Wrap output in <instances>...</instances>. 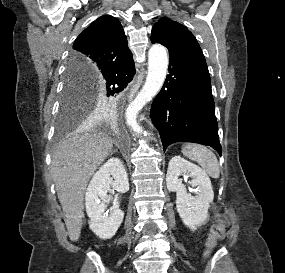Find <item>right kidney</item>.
Instances as JSON below:
<instances>
[{
  "label": "right kidney",
  "mask_w": 285,
  "mask_h": 273,
  "mask_svg": "<svg viewBox=\"0 0 285 273\" xmlns=\"http://www.w3.org/2000/svg\"><path fill=\"white\" fill-rule=\"evenodd\" d=\"M110 187L122 194L129 190L128 176L123 163L118 158H110L94 174L88 185L85 205L90 218V229L101 239H110L120 227L124 212L120 209L119 197L115 196L113 207L107 211L104 200Z\"/></svg>",
  "instance_id": "obj_1"
}]
</instances>
